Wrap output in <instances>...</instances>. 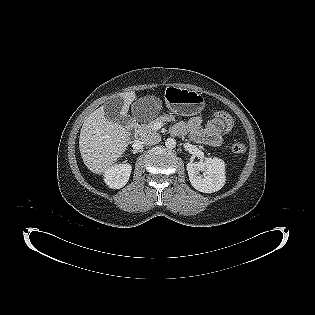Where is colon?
<instances>
[{"instance_id":"obj_1","label":"colon","mask_w":315,"mask_h":315,"mask_svg":"<svg viewBox=\"0 0 315 315\" xmlns=\"http://www.w3.org/2000/svg\"><path fill=\"white\" fill-rule=\"evenodd\" d=\"M213 117L215 119H220L222 123L225 125L222 127V132L224 134H230L232 132V127L237 125V120L235 118H231V113H226L225 111L215 110L213 112ZM231 151L236 154H240L245 152V145L242 143H234L231 145Z\"/></svg>"}]
</instances>
